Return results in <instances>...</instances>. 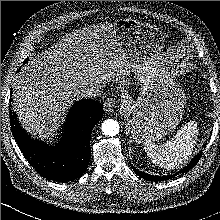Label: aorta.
Instances as JSON below:
<instances>
[{
  "label": "aorta",
  "mask_w": 220,
  "mask_h": 220,
  "mask_svg": "<svg viewBox=\"0 0 220 220\" xmlns=\"http://www.w3.org/2000/svg\"><path fill=\"white\" fill-rule=\"evenodd\" d=\"M102 131L105 135L115 136L119 133V123L113 119H107L102 123Z\"/></svg>",
  "instance_id": "1"
}]
</instances>
